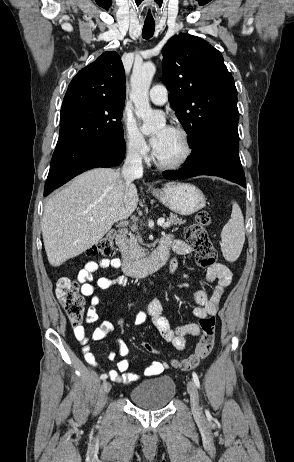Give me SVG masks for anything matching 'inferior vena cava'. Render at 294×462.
Listing matches in <instances>:
<instances>
[{"mask_svg":"<svg viewBox=\"0 0 294 462\" xmlns=\"http://www.w3.org/2000/svg\"><path fill=\"white\" fill-rule=\"evenodd\" d=\"M143 175L142 157L136 146H129L126 160L122 168V176L125 180L126 192L132 182Z\"/></svg>","mask_w":294,"mask_h":462,"instance_id":"obj_1","label":"inferior vena cava"}]
</instances>
